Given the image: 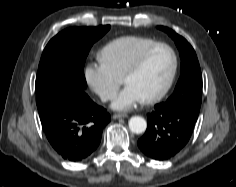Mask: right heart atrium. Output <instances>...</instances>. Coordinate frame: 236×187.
Masks as SVG:
<instances>
[{
  "label": "right heart atrium",
  "mask_w": 236,
  "mask_h": 187,
  "mask_svg": "<svg viewBox=\"0 0 236 187\" xmlns=\"http://www.w3.org/2000/svg\"><path fill=\"white\" fill-rule=\"evenodd\" d=\"M84 78L89 88L104 101L112 100L121 84V79L101 63L91 62L84 68Z\"/></svg>",
  "instance_id": "obj_1"
}]
</instances>
